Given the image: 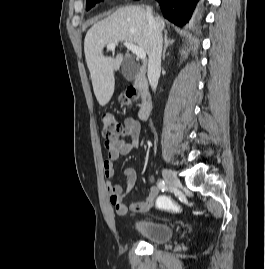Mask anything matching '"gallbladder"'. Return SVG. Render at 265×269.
Returning a JSON list of instances; mask_svg holds the SVG:
<instances>
[{
	"label": "gallbladder",
	"mask_w": 265,
	"mask_h": 269,
	"mask_svg": "<svg viewBox=\"0 0 265 269\" xmlns=\"http://www.w3.org/2000/svg\"><path fill=\"white\" fill-rule=\"evenodd\" d=\"M138 69L135 65L129 63L127 60L124 61L122 65V73L127 80H132Z\"/></svg>",
	"instance_id": "gallbladder-1"
}]
</instances>
